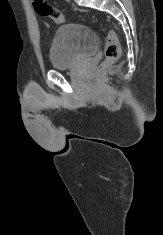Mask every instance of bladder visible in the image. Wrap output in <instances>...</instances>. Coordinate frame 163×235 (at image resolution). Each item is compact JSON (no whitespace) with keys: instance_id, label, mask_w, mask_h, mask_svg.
Listing matches in <instances>:
<instances>
[{"instance_id":"bladder-1","label":"bladder","mask_w":163,"mask_h":235,"mask_svg":"<svg viewBox=\"0 0 163 235\" xmlns=\"http://www.w3.org/2000/svg\"><path fill=\"white\" fill-rule=\"evenodd\" d=\"M99 47L97 34L81 23H70L57 29L50 45L53 69H68L94 53Z\"/></svg>"}]
</instances>
